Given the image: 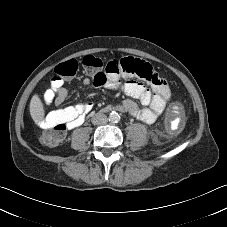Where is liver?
<instances>
[{"mask_svg": "<svg viewBox=\"0 0 227 227\" xmlns=\"http://www.w3.org/2000/svg\"><path fill=\"white\" fill-rule=\"evenodd\" d=\"M29 109L30 115L35 122L43 119L45 114L44 106L37 94L33 95L30 101Z\"/></svg>", "mask_w": 227, "mask_h": 227, "instance_id": "6515ba94", "label": "liver"}]
</instances>
